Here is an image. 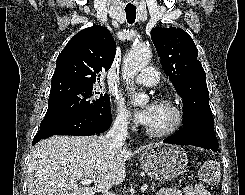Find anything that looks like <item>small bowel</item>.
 <instances>
[{
  "label": "small bowel",
  "instance_id": "obj_1",
  "mask_svg": "<svg viewBox=\"0 0 245 195\" xmlns=\"http://www.w3.org/2000/svg\"><path fill=\"white\" fill-rule=\"evenodd\" d=\"M157 195H181V193L177 188L166 187V188L160 189L158 191ZM195 195H209V193L204 186L199 185L197 187V191H196Z\"/></svg>",
  "mask_w": 245,
  "mask_h": 195
}]
</instances>
